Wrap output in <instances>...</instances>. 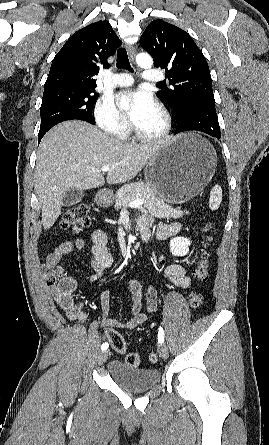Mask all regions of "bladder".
I'll return each mask as SVG.
<instances>
[{
	"instance_id": "obj_1",
	"label": "bladder",
	"mask_w": 269,
	"mask_h": 445,
	"mask_svg": "<svg viewBox=\"0 0 269 445\" xmlns=\"http://www.w3.org/2000/svg\"><path fill=\"white\" fill-rule=\"evenodd\" d=\"M113 381L128 391L148 390L160 381V371L156 368H137L114 360L108 365Z\"/></svg>"
}]
</instances>
